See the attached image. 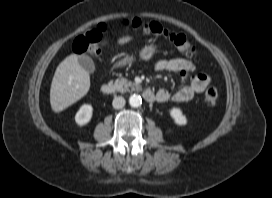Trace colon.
Returning a JSON list of instances; mask_svg holds the SVG:
<instances>
[{"label":"colon","instance_id":"1","mask_svg":"<svg viewBox=\"0 0 272 198\" xmlns=\"http://www.w3.org/2000/svg\"><path fill=\"white\" fill-rule=\"evenodd\" d=\"M125 26L141 31L146 35L165 38L170 41L180 53L190 58L197 57L196 48L190 43L185 35L171 32L157 22L144 23L139 19H130L125 21ZM104 31L105 26L99 24L79 36L74 42V51L78 55H91L96 57L98 54V43ZM217 97V90L214 87H208L204 92L203 102L206 105L212 106L216 103Z\"/></svg>","mask_w":272,"mask_h":198}]
</instances>
